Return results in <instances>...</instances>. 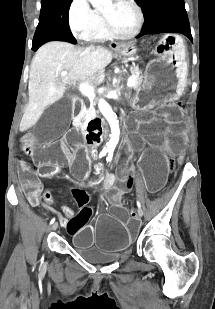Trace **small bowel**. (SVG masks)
Returning <instances> with one entry per match:
<instances>
[{"mask_svg":"<svg viewBox=\"0 0 215 309\" xmlns=\"http://www.w3.org/2000/svg\"><path fill=\"white\" fill-rule=\"evenodd\" d=\"M29 186L31 188V190L28 193L29 200L31 201V203L33 205H37L38 204L39 190H40V186H41L40 182L35 180L33 183L29 184ZM128 187H129V184L126 185V183L123 186H115L113 188V193H114L115 197L118 200H120V198L122 197L124 192L128 189ZM78 191H80V190H78ZM78 191H76V199L77 200H78V198H77ZM62 211L66 216V212L68 211V208L63 207Z\"/></svg>","mask_w":215,"mask_h":309,"instance_id":"1","label":"small bowel"}]
</instances>
